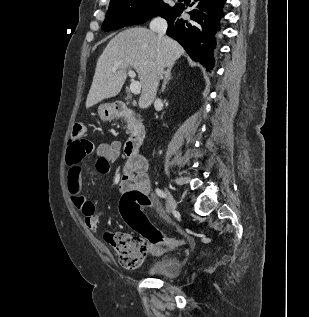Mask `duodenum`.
<instances>
[{"instance_id": "1", "label": "duodenum", "mask_w": 309, "mask_h": 317, "mask_svg": "<svg viewBox=\"0 0 309 317\" xmlns=\"http://www.w3.org/2000/svg\"><path fill=\"white\" fill-rule=\"evenodd\" d=\"M116 117L126 118L132 120L134 118L133 111L124 103H116L113 108ZM145 139V130L136 126L125 144V154L133 157L139 154L140 148Z\"/></svg>"}]
</instances>
